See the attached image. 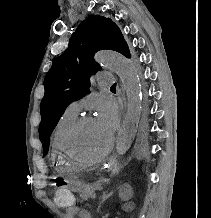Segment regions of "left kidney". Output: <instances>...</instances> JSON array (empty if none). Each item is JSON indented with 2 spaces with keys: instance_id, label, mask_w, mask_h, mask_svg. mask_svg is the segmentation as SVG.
Listing matches in <instances>:
<instances>
[{
  "instance_id": "5707ae66",
  "label": "left kidney",
  "mask_w": 211,
  "mask_h": 218,
  "mask_svg": "<svg viewBox=\"0 0 211 218\" xmlns=\"http://www.w3.org/2000/svg\"><path fill=\"white\" fill-rule=\"evenodd\" d=\"M123 214L124 215H131L132 214V208L129 207V202H124Z\"/></svg>"
}]
</instances>
